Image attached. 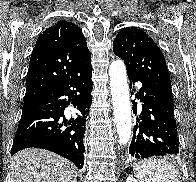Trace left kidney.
Segmentation results:
<instances>
[{
    "instance_id": "5707ae66",
    "label": "left kidney",
    "mask_w": 196,
    "mask_h": 182,
    "mask_svg": "<svg viewBox=\"0 0 196 182\" xmlns=\"http://www.w3.org/2000/svg\"><path fill=\"white\" fill-rule=\"evenodd\" d=\"M126 182H138L137 179H135L133 176H129L126 180Z\"/></svg>"
}]
</instances>
